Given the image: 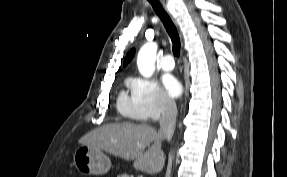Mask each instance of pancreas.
<instances>
[{"label":"pancreas","mask_w":287,"mask_h":177,"mask_svg":"<svg viewBox=\"0 0 287 177\" xmlns=\"http://www.w3.org/2000/svg\"><path fill=\"white\" fill-rule=\"evenodd\" d=\"M118 177H129L127 174L119 175Z\"/></svg>","instance_id":"cf45deb5"}]
</instances>
